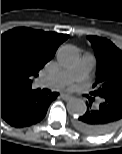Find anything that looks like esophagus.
Returning <instances> with one entry per match:
<instances>
[{"label": "esophagus", "instance_id": "obj_1", "mask_svg": "<svg viewBox=\"0 0 122 154\" xmlns=\"http://www.w3.org/2000/svg\"><path fill=\"white\" fill-rule=\"evenodd\" d=\"M60 95H61L62 99H64V100H69V99H71V95L68 94V93L63 92V93H61Z\"/></svg>", "mask_w": 122, "mask_h": 154}]
</instances>
